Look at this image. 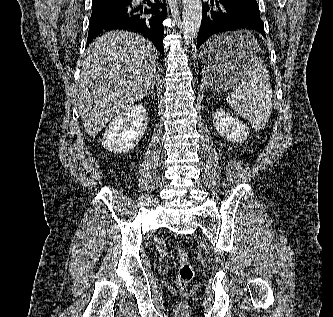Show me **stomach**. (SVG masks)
<instances>
[{"label":"stomach","mask_w":333,"mask_h":317,"mask_svg":"<svg viewBox=\"0 0 333 317\" xmlns=\"http://www.w3.org/2000/svg\"><path fill=\"white\" fill-rule=\"evenodd\" d=\"M251 29H222L221 33H209V40L204 41L200 51V62H209L205 68L201 88H209L217 93L236 88L237 82L245 81L248 71L258 68L256 55L257 41Z\"/></svg>","instance_id":"stomach-1"}]
</instances>
